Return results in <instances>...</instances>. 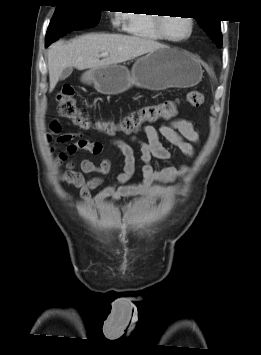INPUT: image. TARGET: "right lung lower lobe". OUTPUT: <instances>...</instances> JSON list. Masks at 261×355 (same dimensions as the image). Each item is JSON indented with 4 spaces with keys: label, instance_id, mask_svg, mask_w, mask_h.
Wrapping results in <instances>:
<instances>
[{
    "label": "right lung lower lobe",
    "instance_id": "98d812e1",
    "mask_svg": "<svg viewBox=\"0 0 261 355\" xmlns=\"http://www.w3.org/2000/svg\"><path fill=\"white\" fill-rule=\"evenodd\" d=\"M71 31H68V32H64V33H61L55 37H52V38H49V39H46V42H45V46H49L52 42H54L55 40L59 39L60 37H62L63 35L69 33Z\"/></svg>",
    "mask_w": 261,
    "mask_h": 355
}]
</instances>
